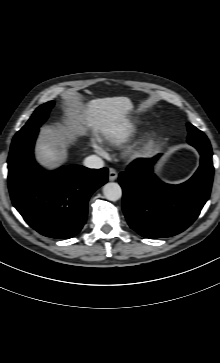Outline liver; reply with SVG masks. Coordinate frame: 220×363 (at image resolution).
<instances>
[{"mask_svg": "<svg viewBox=\"0 0 220 363\" xmlns=\"http://www.w3.org/2000/svg\"><path fill=\"white\" fill-rule=\"evenodd\" d=\"M132 109L133 104L127 97L102 98L89 101L73 115L96 134L124 121ZM61 146L62 137L52 130H46L36 145L37 159L46 167L56 166L65 158Z\"/></svg>", "mask_w": 220, "mask_h": 363, "instance_id": "1", "label": "liver"}]
</instances>
